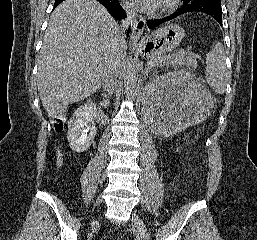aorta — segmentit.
Here are the masks:
<instances>
[{"instance_id":"obj_1","label":"aorta","mask_w":257,"mask_h":240,"mask_svg":"<svg viewBox=\"0 0 257 240\" xmlns=\"http://www.w3.org/2000/svg\"><path fill=\"white\" fill-rule=\"evenodd\" d=\"M123 82H124V90L127 98L135 99L137 96V65L130 55L124 64L123 67Z\"/></svg>"}]
</instances>
